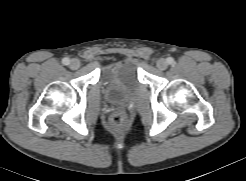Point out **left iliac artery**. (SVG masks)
I'll return each mask as SVG.
<instances>
[{
    "label": "left iliac artery",
    "mask_w": 246,
    "mask_h": 181,
    "mask_svg": "<svg viewBox=\"0 0 246 181\" xmlns=\"http://www.w3.org/2000/svg\"><path fill=\"white\" fill-rule=\"evenodd\" d=\"M167 62L169 64H173L174 63V59L172 57H169V58H167Z\"/></svg>",
    "instance_id": "1"
}]
</instances>
